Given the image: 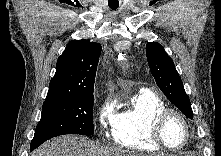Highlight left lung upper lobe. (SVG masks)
I'll list each match as a JSON object with an SVG mask.
<instances>
[{"mask_svg":"<svg viewBox=\"0 0 221 156\" xmlns=\"http://www.w3.org/2000/svg\"><path fill=\"white\" fill-rule=\"evenodd\" d=\"M146 55L156 84L165 96L187 117L193 119V111L182 80L173 60L162 45L150 42L146 45Z\"/></svg>","mask_w":221,"mask_h":156,"instance_id":"1","label":"left lung upper lobe"}]
</instances>
